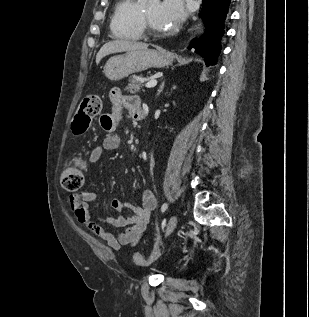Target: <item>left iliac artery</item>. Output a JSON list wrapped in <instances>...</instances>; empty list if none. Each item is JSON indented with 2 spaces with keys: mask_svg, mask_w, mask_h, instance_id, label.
<instances>
[{
  "mask_svg": "<svg viewBox=\"0 0 309 317\" xmlns=\"http://www.w3.org/2000/svg\"><path fill=\"white\" fill-rule=\"evenodd\" d=\"M167 208H168V204H167V203H164V204L162 205V207H161V211H162V212H165Z\"/></svg>",
  "mask_w": 309,
  "mask_h": 317,
  "instance_id": "1",
  "label": "left iliac artery"
}]
</instances>
